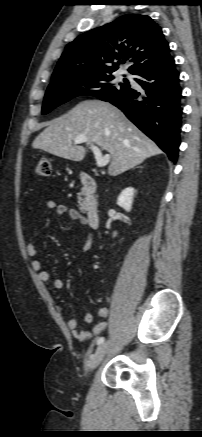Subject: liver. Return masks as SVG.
<instances>
[{"mask_svg": "<svg viewBox=\"0 0 202 437\" xmlns=\"http://www.w3.org/2000/svg\"><path fill=\"white\" fill-rule=\"evenodd\" d=\"M110 154L108 174L117 176L161 154L160 148L115 106L99 100H86L69 113L49 122L33 141L32 147L72 161H82L86 149L73 145L78 135Z\"/></svg>", "mask_w": 202, "mask_h": 437, "instance_id": "1", "label": "liver"}]
</instances>
